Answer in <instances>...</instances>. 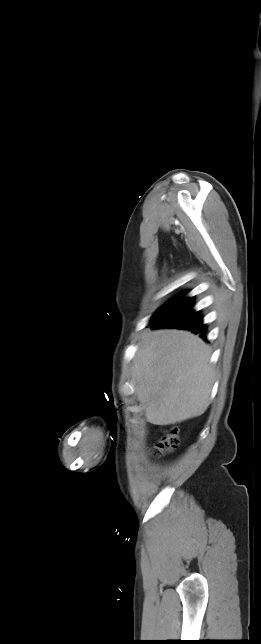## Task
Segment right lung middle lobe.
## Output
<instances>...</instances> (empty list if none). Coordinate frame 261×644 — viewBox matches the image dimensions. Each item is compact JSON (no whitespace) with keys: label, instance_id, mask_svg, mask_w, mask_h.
<instances>
[{"label":"right lung middle lobe","instance_id":"obj_1","mask_svg":"<svg viewBox=\"0 0 261 644\" xmlns=\"http://www.w3.org/2000/svg\"><path fill=\"white\" fill-rule=\"evenodd\" d=\"M187 292H183L182 294L176 296L173 298L171 301H169L167 304L163 305L153 316L152 321H157L160 320L167 315L171 314L172 312L178 310L179 308L183 307L184 305L188 304L193 300L192 298H185V295Z\"/></svg>","mask_w":261,"mask_h":644}]
</instances>
